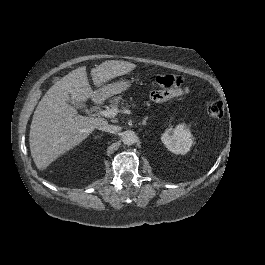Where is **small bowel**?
<instances>
[{"instance_id": "c3829d8e", "label": "small bowel", "mask_w": 265, "mask_h": 265, "mask_svg": "<svg viewBox=\"0 0 265 265\" xmlns=\"http://www.w3.org/2000/svg\"><path fill=\"white\" fill-rule=\"evenodd\" d=\"M185 92L180 90H154L150 93V98L157 103L165 102L179 96H182Z\"/></svg>"}]
</instances>
